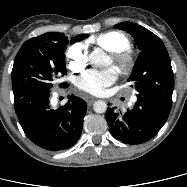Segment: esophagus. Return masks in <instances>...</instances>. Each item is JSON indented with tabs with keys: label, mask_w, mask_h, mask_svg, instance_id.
Returning <instances> with one entry per match:
<instances>
[{
	"label": "esophagus",
	"mask_w": 187,
	"mask_h": 187,
	"mask_svg": "<svg viewBox=\"0 0 187 187\" xmlns=\"http://www.w3.org/2000/svg\"><path fill=\"white\" fill-rule=\"evenodd\" d=\"M95 100H96V98L90 97V96H87V97L85 98V101H86V103H87L88 105H91Z\"/></svg>",
	"instance_id": "34e87169"
}]
</instances>
